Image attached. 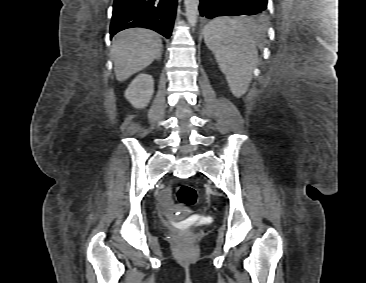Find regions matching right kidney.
Segmentation results:
<instances>
[{
    "label": "right kidney",
    "instance_id": "1",
    "mask_svg": "<svg viewBox=\"0 0 366 283\" xmlns=\"http://www.w3.org/2000/svg\"><path fill=\"white\" fill-rule=\"evenodd\" d=\"M153 92L154 81L152 76L141 73L128 86L125 97L135 108H145L149 104Z\"/></svg>",
    "mask_w": 366,
    "mask_h": 283
}]
</instances>
